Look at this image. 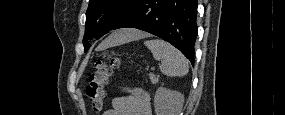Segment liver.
<instances>
[{"label": "liver", "mask_w": 285, "mask_h": 115, "mask_svg": "<svg viewBox=\"0 0 285 115\" xmlns=\"http://www.w3.org/2000/svg\"><path fill=\"white\" fill-rule=\"evenodd\" d=\"M148 34L139 30L124 29L117 31L106 38L98 47L97 50H105L110 47L122 45L133 40H138L147 37Z\"/></svg>", "instance_id": "obj_1"}]
</instances>
